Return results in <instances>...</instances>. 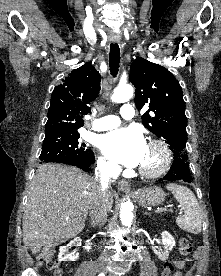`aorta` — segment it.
Masks as SVG:
<instances>
[{"label": "aorta", "instance_id": "aorta-1", "mask_svg": "<svg viewBox=\"0 0 221 276\" xmlns=\"http://www.w3.org/2000/svg\"><path fill=\"white\" fill-rule=\"evenodd\" d=\"M134 90L131 85L118 86L114 89L111 100L116 103H123L130 100ZM120 220L122 225L131 226L133 220V204L127 201L121 204Z\"/></svg>", "mask_w": 221, "mask_h": 276}]
</instances>
